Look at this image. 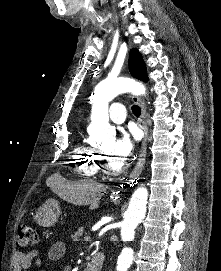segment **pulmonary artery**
<instances>
[{
    "label": "pulmonary artery",
    "mask_w": 221,
    "mask_h": 271,
    "mask_svg": "<svg viewBox=\"0 0 221 271\" xmlns=\"http://www.w3.org/2000/svg\"><path fill=\"white\" fill-rule=\"evenodd\" d=\"M110 108L107 113V116L109 117V122H126V117H125V107H118L119 103L118 102H111L110 103Z\"/></svg>",
    "instance_id": "obj_1"
}]
</instances>
